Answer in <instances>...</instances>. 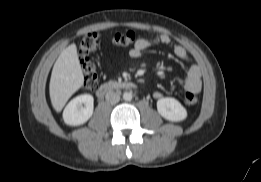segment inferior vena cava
<instances>
[{"label": "inferior vena cava", "instance_id": "1", "mask_svg": "<svg viewBox=\"0 0 261 182\" xmlns=\"http://www.w3.org/2000/svg\"><path fill=\"white\" fill-rule=\"evenodd\" d=\"M105 99L111 104H116L120 101V95L114 91H108L105 95Z\"/></svg>", "mask_w": 261, "mask_h": 182}]
</instances>
